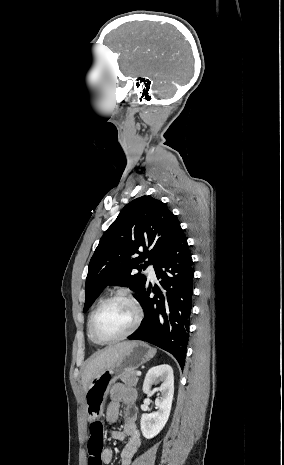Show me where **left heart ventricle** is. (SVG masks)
<instances>
[{"mask_svg":"<svg viewBox=\"0 0 284 465\" xmlns=\"http://www.w3.org/2000/svg\"><path fill=\"white\" fill-rule=\"evenodd\" d=\"M130 304L116 301L107 305L95 322V334L101 340H112L126 334L135 322Z\"/></svg>","mask_w":284,"mask_h":465,"instance_id":"left-heart-ventricle-1","label":"left heart ventricle"}]
</instances>
